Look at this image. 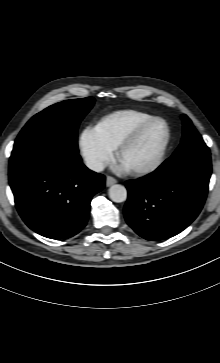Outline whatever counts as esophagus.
<instances>
[{
  "label": "esophagus",
  "instance_id": "obj_1",
  "mask_svg": "<svg viewBox=\"0 0 220 363\" xmlns=\"http://www.w3.org/2000/svg\"><path fill=\"white\" fill-rule=\"evenodd\" d=\"M115 183H117V180L115 178H113L112 176L106 177V186H111Z\"/></svg>",
  "mask_w": 220,
  "mask_h": 363
}]
</instances>
